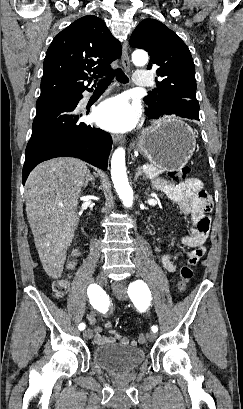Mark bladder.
Returning <instances> with one entry per match:
<instances>
[{"label":"bladder","instance_id":"bladder-1","mask_svg":"<svg viewBox=\"0 0 243 409\" xmlns=\"http://www.w3.org/2000/svg\"><path fill=\"white\" fill-rule=\"evenodd\" d=\"M94 361L112 373H124L136 369L145 359L141 347L110 343L97 346L92 352Z\"/></svg>","mask_w":243,"mask_h":409}]
</instances>
